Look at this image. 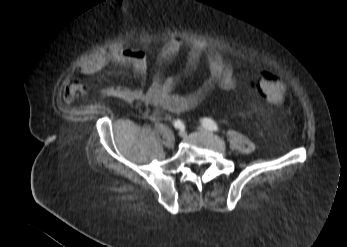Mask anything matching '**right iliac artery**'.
Segmentation results:
<instances>
[{
    "label": "right iliac artery",
    "instance_id": "82829eb1",
    "mask_svg": "<svg viewBox=\"0 0 347 247\" xmlns=\"http://www.w3.org/2000/svg\"><path fill=\"white\" fill-rule=\"evenodd\" d=\"M174 127L175 128H182L183 127L182 121L181 120L174 121Z\"/></svg>",
    "mask_w": 347,
    "mask_h": 247
}]
</instances>
